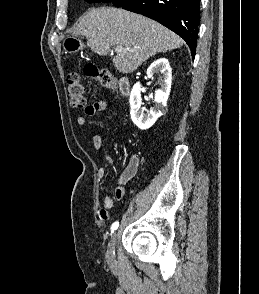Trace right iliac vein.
<instances>
[{
  "instance_id": "right-iliac-vein-1",
  "label": "right iliac vein",
  "mask_w": 259,
  "mask_h": 294,
  "mask_svg": "<svg viewBox=\"0 0 259 294\" xmlns=\"http://www.w3.org/2000/svg\"><path fill=\"white\" fill-rule=\"evenodd\" d=\"M117 239V233L115 232L109 241L108 249H107V259L109 261H112L114 258V249H115V243Z\"/></svg>"
}]
</instances>
